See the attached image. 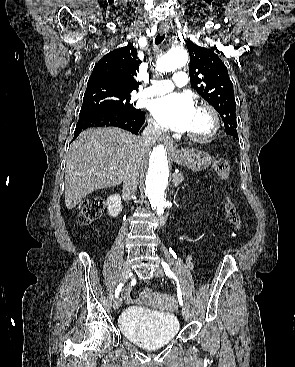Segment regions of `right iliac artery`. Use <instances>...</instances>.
Returning a JSON list of instances; mask_svg holds the SVG:
<instances>
[{"label":"right iliac artery","instance_id":"obj_1","mask_svg":"<svg viewBox=\"0 0 295 367\" xmlns=\"http://www.w3.org/2000/svg\"><path fill=\"white\" fill-rule=\"evenodd\" d=\"M129 276H131V273L129 274ZM122 287H123V283H120L117 288H116V291H115V298L117 299L119 297V294L122 290Z\"/></svg>","mask_w":295,"mask_h":367}]
</instances>
